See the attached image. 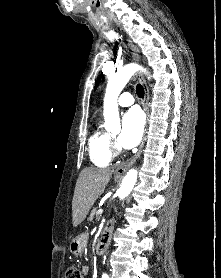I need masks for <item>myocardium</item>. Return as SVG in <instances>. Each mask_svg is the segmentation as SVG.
<instances>
[{
  "mask_svg": "<svg viewBox=\"0 0 221 278\" xmlns=\"http://www.w3.org/2000/svg\"><path fill=\"white\" fill-rule=\"evenodd\" d=\"M110 148H111L112 154H114V155H118L121 153V149L114 142L110 143Z\"/></svg>",
  "mask_w": 221,
  "mask_h": 278,
  "instance_id": "obj_1",
  "label": "myocardium"
}]
</instances>
